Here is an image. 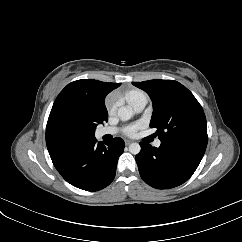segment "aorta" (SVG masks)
I'll return each mask as SVG.
<instances>
[{"label":"aorta","mask_w":242,"mask_h":242,"mask_svg":"<svg viewBox=\"0 0 242 242\" xmlns=\"http://www.w3.org/2000/svg\"><path fill=\"white\" fill-rule=\"evenodd\" d=\"M117 115L122 121H127L132 117L133 111L129 107L122 106L118 108ZM140 150L141 146L138 143H131L129 145V152L134 155L138 154Z\"/></svg>","instance_id":"aorta-1"}]
</instances>
